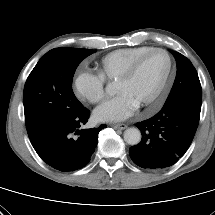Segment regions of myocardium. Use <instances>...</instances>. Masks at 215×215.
Here are the masks:
<instances>
[{"label": "myocardium", "mask_w": 215, "mask_h": 215, "mask_svg": "<svg viewBox=\"0 0 215 215\" xmlns=\"http://www.w3.org/2000/svg\"><path fill=\"white\" fill-rule=\"evenodd\" d=\"M153 53L165 54V56L168 59V68H167V72L164 76V79L161 82L158 89L146 102L141 104L140 107H147V106L152 105L154 102L157 101V99L164 92V90L169 82L172 70H173V59H172V56L170 55V53L163 48H151L150 50L144 52L143 54L138 56L136 59H134L117 79V82H124V81H127L130 78H132V76L135 74L136 70L138 69L139 65L142 63V61Z\"/></svg>", "instance_id": "1"}]
</instances>
